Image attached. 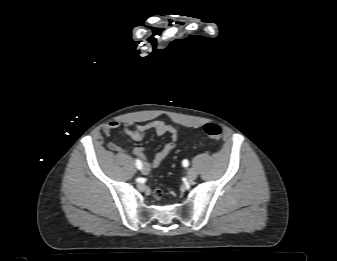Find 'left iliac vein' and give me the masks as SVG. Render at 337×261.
<instances>
[{
  "instance_id": "obj_1",
  "label": "left iliac vein",
  "mask_w": 337,
  "mask_h": 261,
  "mask_svg": "<svg viewBox=\"0 0 337 261\" xmlns=\"http://www.w3.org/2000/svg\"><path fill=\"white\" fill-rule=\"evenodd\" d=\"M187 177L189 180H195L197 177V172L191 168L187 171Z\"/></svg>"
}]
</instances>
